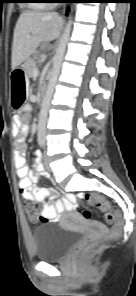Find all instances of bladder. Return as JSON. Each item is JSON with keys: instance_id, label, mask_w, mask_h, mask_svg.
Returning a JSON list of instances; mask_svg holds the SVG:
<instances>
[{"instance_id": "31cf9c89", "label": "bladder", "mask_w": 136, "mask_h": 296, "mask_svg": "<svg viewBox=\"0 0 136 296\" xmlns=\"http://www.w3.org/2000/svg\"><path fill=\"white\" fill-rule=\"evenodd\" d=\"M78 231L49 222L33 230L34 255L38 261L53 262L62 259L77 242Z\"/></svg>"}]
</instances>
